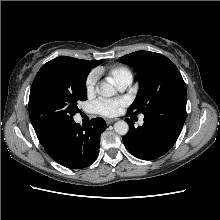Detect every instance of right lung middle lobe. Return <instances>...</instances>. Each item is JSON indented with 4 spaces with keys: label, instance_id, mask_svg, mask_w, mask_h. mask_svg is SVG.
Wrapping results in <instances>:
<instances>
[{
    "label": "right lung middle lobe",
    "instance_id": "obj_1",
    "mask_svg": "<svg viewBox=\"0 0 220 220\" xmlns=\"http://www.w3.org/2000/svg\"><path fill=\"white\" fill-rule=\"evenodd\" d=\"M89 72L84 67L58 62L41 67L29 96V116L39 140L73 121L78 102L87 99Z\"/></svg>",
    "mask_w": 220,
    "mask_h": 220
}]
</instances>
